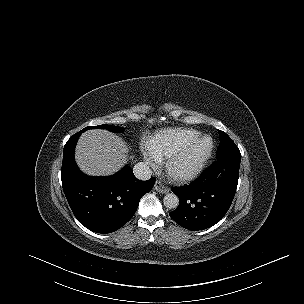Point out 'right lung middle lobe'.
I'll return each instance as SVG.
<instances>
[{
	"mask_svg": "<svg viewBox=\"0 0 304 304\" xmlns=\"http://www.w3.org/2000/svg\"><path fill=\"white\" fill-rule=\"evenodd\" d=\"M91 128L106 129L108 131L115 132V133H122V132L125 131L124 128H122V127L111 126V125L104 124V125H98V126H95V127H91V126L86 127L83 130H81V132H84V131H86L88 129H91Z\"/></svg>",
	"mask_w": 304,
	"mask_h": 304,
	"instance_id": "obj_1",
	"label": "right lung middle lobe"
}]
</instances>
